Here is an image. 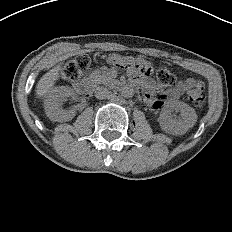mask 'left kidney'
I'll list each match as a JSON object with an SVG mask.
<instances>
[{
    "instance_id": "obj_1",
    "label": "left kidney",
    "mask_w": 232,
    "mask_h": 232,
    "mask_svg": "<svg viewBox=\"0 0 232 232\" xmlns=\"http://www.w3.org/2000/svg\"><path fill=\"white\" fill-rule=\"evenodd\" d=\"M180 111L181 118L173 117V111ZM197 121L195 110L182 101L168 103L159 116V124L163 131L172 135H183L193 128Z\"/></svg>"
}]
</instances>
